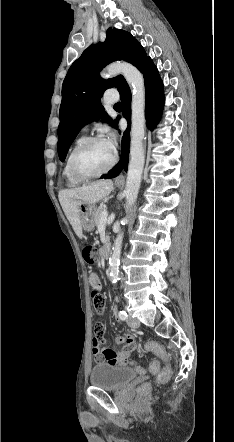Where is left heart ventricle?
<instances>
[{
    "mask_svg": "<svg viewBox=\"0 0 234 442\" xmlns=\"http://www.w3.org/2000/svg\"><path fill=\"white\" fill-rule=\"evenodd\" d=\"M113 152L104 141L96 142L84 149L76 159V165L83 173H96L108 166Z\"/></svg>",
    "mask_w": 234,
    "mask_h": 442,
    "instance_id": "left-heart-ventricle-1",
    "label": "left heart ventricle"
}]
</instances>
